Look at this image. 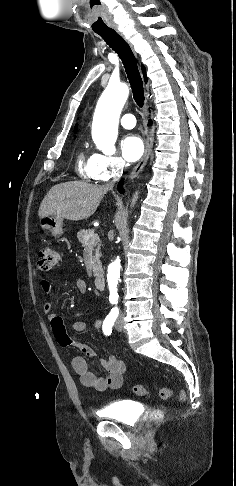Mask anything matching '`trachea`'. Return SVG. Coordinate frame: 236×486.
Returning a JSON list of instances; mask_svg holds the SVG:
<instances>
[{"label":"trachea","instance_id":"obj_1","mask_svg":"<svg viewBox=\"0 0 236 486\" xmlns=\"http://www.w3.org/2000/svg\"><path fill=\"white\" fill-rule=\"evenodd\" d=\"M120 57L131 85L133 98L139 107L144 103L143 82L135 56L126 41L113 29L96 32Z\"/></svg>","mask_w":236,"mask_h":486}]
</instances>
